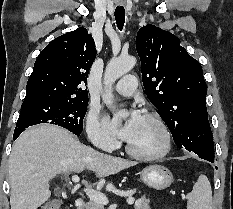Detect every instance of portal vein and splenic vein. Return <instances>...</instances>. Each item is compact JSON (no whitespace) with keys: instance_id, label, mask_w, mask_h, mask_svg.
<instances>
[{"instance_id":"18ae733b","label":"portal vein and splenic vein","mask_w":233,"mask_h":209,"mask_svg":"<svg viewBox=\"0 0 233 209\" xmlns=\"http://www.w3.org/2000/svg\"><path fill=\"white\" fill-rule=\"evenodd\" d=\"M79 180H80L79 176L77 175L72 176L73 182L78 183ZM84 191L86 195L94 202L98 204H102V205H106L108 203V199L103 193L96 191L94 189H91V188H85ZM134 202H135V199L133 197L127 198V204L132 205Z\"/></svg>"}]
</instances>
